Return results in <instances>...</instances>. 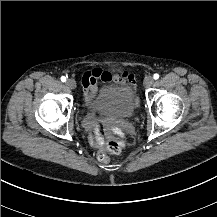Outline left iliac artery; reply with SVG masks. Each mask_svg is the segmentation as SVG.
I'll use <instances>...</instances> for the list:
<instances>
[{"label": "left iliac artery", "instance_id": "obj_1", "mask_svg": "<svg viewBox=\"0 0 217 217\" xmlns=\"http://www.w3.org/2000/svg\"><path fill=\"white\" fill-rule=\"evenodd\" d=\"M153 78L155 79V80H157L158 78H159V74H154V76H153Z\"/></svg>", "mask_w": 217, "mask_h": 217}]
</instances>
